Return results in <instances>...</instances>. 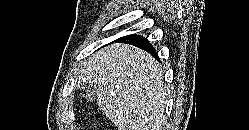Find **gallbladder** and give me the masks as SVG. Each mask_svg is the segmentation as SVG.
<instances>
[{
	"instance_id": "obj_1",
	"label": "gallbladder",
	"mask_w": 249,
	"mask_h": 130,
	"mask_svg": "<svg viewBox=\"0 0 249 130\" xmlns=\"http://www.w3.org/2000/svg\"><path fill=\"white\" fill-rule=\"evenodd\" d=\"M81 95L88 101L92 102L96 98V89L92 84L87 83L81 88Z\"/></svg>"
}]
</instances>
